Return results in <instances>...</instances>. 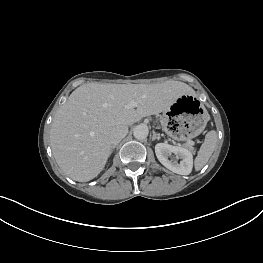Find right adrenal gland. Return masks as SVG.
<instances>
[{"label":"right adrenal gland","mask_w":263,"mask_h":263,"mask_svg":"<svg viewBox=\"0 0 263 263\" xmlns=\"http://www.w3.org/2000/svg\"><path fill=\"white\" fill-rule=\"evenodd\" d=\"M115 148H116V146H113V147H112V151H113Z\"/></svg>","instance_id":"obj_1"}]
</instances>
